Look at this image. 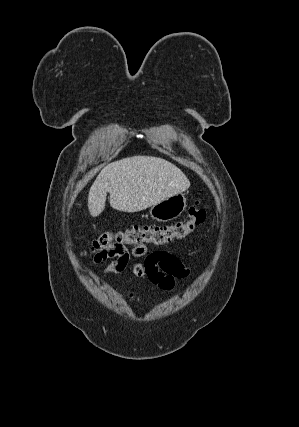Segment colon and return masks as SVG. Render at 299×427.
I'll list each match as a JSON object with an SVG mask.
<instances>
[{
  "mask_svg": "<svg viewBox=\"0 0 299 427\" xmlns=\"http://www.w3.org/2000/svg\"><path fill=\"white\" fill-rule=\"evenodd\" d=\"M205 218V204L202 200H196L190 207L185 221L166 225L133 226L104 232L93 240L89 250L98 261L121 254L129 246L164 245L185 238L201 225Z\"/></svg>",
  "mask_w": 299,
  "mask_h": 427,
  "instance_id": "1",
  "label": "colon"
}]
</instances>
